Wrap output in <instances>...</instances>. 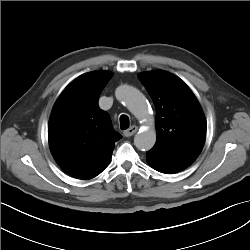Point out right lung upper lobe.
I'll use <instances>...</instances> for the list:
<instances>
[{"mask_svg":"<svg viewBox=\"0 0 250 250\" xmlns=\"http://www.w3.org/2000/svg\"><path fill=\"white\" fill-rule=\"evenodd\" d=\"M112 74L95 71L72 81L57 99L48 125L51 153L58 165L77 179H86L112 156L121 135L98 99Z\"/></svg>","mask_w":250,"mask_h":250,"instance_id":"cb5924a9","label":"right lung upper lobe"}]
</instances>
